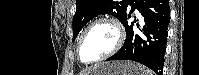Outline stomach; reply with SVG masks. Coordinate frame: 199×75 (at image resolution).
Masks as SVG:
<instances>
[{"label": "stomach", "mask_w": 199, "mask_h": 75, "mask_svg": "<svg viewBox=\"0 0 199 75\" xmlns=\"http://www.w3.org/2000/svg\"><path fill=\"white\" fill-rule=\"evenodd\" d=\"M144 68L130 61H115L103 63L90 72L89 75H143Z\"/></svg>", "instance_id": "0dacf381"}]
</instances>
